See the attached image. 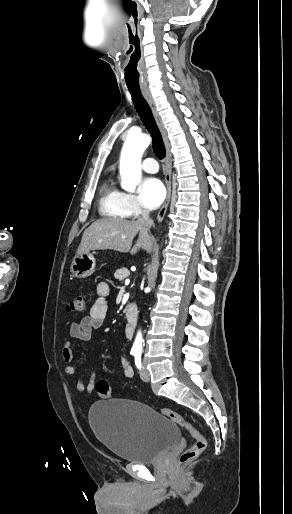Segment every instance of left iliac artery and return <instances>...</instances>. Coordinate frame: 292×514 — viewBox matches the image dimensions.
Instances as JSON below:
<instances>
[{
    "instance_id": "obj_1",
    "label": "left iliac artery",
    "mask_w": 292,
    "mask_h": 514,
    "mask_svg": "<svg viewBox=\"0 0 292 514\" xmlns=\"http://www.w3.org/2000/svg\"><path fill=\"white\" fill-rule=\"evenodd\" d=\"M135 365L138 369H141V355L140 353H137L135 355Z\"/></svg>"
}]
</instances>
